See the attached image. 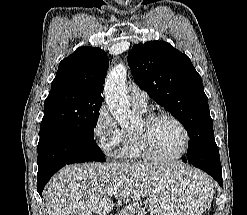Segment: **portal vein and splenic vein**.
Instances as JSON below:
<instances>
[{"instance_id":"18ae733b","label":"portal vein and splenic vein","mask_w":247,"mask_h":215,"mask_svg":"<svg viewBox=\"0 0 247 215\" xmlns=\"http://www.w3.org/2000/svg\"><path fill=\"white\" fill-rule=\"evenodd\" d=\"M115 194H116V191L114 189H110V190L107 191V195L110 196V197L115 195Z\"/></svg>"}]
</instances>
